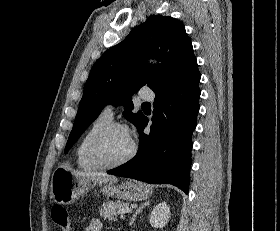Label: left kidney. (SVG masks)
Here are the masks:
<instances>
[{
    "mask_svg": "<svg viewBox=\"0 0 280 231\" xmlns=\"http://www.w3.org/2000/svg\"><path fill=\"white\" fill-rule=\"evenodd\" d=\"M170 217V207L167 201L155 205L151 211L150 223L153 227H164Z\"/></svg>",
    "mask_w": 280,
    "mask_h": 231,
    "instance_id": "left-kidney-1",
    "label": "left kidney"
}]
</instances>
